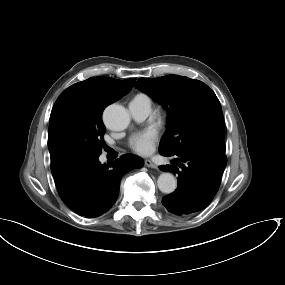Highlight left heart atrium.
I'll use <instances>...</instances> for the list:
<instances>
[{
    "instance_id": "left-heart-atrium-1",
    "label": "left heart atrium",
    "mask_w": 285,
    "mask_h": 285,
    "mask_svg": "<svg viewBox=\"0 0 285 285\" xmlns=\"http://www.w3.org/2000/svg\"><path fill=\"white\" fill-rule=\"evenodd\" d=\"M159 139V133L154 128L137 131L130 136V148L139 155L150 154L156 142Z\"/></svg>"
}]
</instances>
